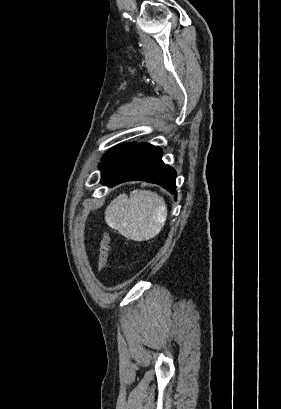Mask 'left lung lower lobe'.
<instances>
[{
    "label": "left lung lower lobe",
    "mask_w": 281,
    "mask_h": 409,
    "mask_svg": "<svg viewBox=\"0 0 281 409\" xmlns=\"http://www.w3.org/2000/svg\"><path fill=\"white\" fill-rule=\"evenodd\" d=\"M161 156L159 147L146 143L134 145L101 168L100 182L114 186L126 181L143 180L159 184L176 194V172L163 163Z\"/></svg>",
    "instance_id": "0a47b994"
}]
</instances>
